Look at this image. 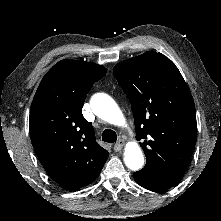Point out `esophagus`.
I'll list each match as a JSON object with an SVG mask.
<instances>
[{"instance_id": "esophagus-1", "label": "esophagus", "mask_w": 221, "mask_h": 221, "mask_svg": "<svg viewBox=\"0 0 221 221\" xmlns=\"http://www.w3.org/2000/svg\"><path fill=\"white\" fill-rule=\"evenodd\" d=\"M124 144H125V141L123 139H119L117 143L114 145V150L120 151L123 148Z\"/></svg>"}]
</instances>
